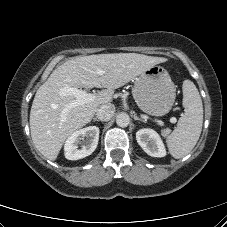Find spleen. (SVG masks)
<instances>
[{"mask_svg": "<svg viewBox=\"0 0 227 227\" xmlns=\"http://www.w3.org/2000/svg\"><path fill=\"white\" fill-rule=\"evenodd\" d=\"M182 91L184 114L166 139L169 152L175 159L190 153L200 137L203 124V105L195 84L184 80Z\"/></svg>", "mask_w": 227, "mask_h": 227, "instance_id": "spleen-1", "label": "spleen"}]
</instances>
